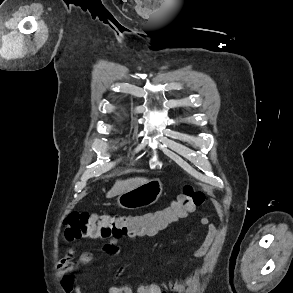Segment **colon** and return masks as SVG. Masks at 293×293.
Wrapping results in <instances>:
<instances>
[{
  "label": "colon",
  "mask_w": 293,
  "mask_h": 293,
  "mask_svg": "<svg viewBox=\"0 0 293 293\" xmlns=\"http://www.w3.org/2000/svg\"><path fill=\"white\" fill-rule=\"evenodd\" d=\"M204 199L202 190L184 186L182 192L163 209L142 214H107L72 211L64 218V238L67 240L84 237L109 239L163 228L193 211ZM141 293H157L153 287L140 289Z\"/></svg>",
  "instance_id": "obj_1"
}]
</instances>
